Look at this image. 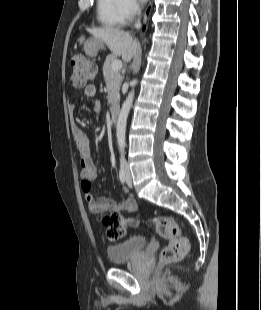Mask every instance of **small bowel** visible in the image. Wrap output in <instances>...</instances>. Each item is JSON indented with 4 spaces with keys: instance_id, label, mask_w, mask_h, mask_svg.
Instances as JSON below:
<instances>
[{
    "instance_id": "1",
    "label": "small bowel",
    "mask_w": 261,
    "mask_h": 310,
    "mask_svg": "<svg viewBox=\"0 0 261 310\" xmlns=\"http://www.w3.org/2000/svg\"><path fill=\"white\" fill-rule=\"evenodd\" d=\"M85 95L95 101L96 109H99L97 91L94 85L85 88ZM69 110H74V105L69 106ZM71 131L79 155V173L81 177V189L90 211L94 214H119L124 212L132 214L137 209L136 201L132 198L123 203L117 202L111 197L95 198L91 191V183L97 176V169L91 158V141L89 137L80 130L77 124L71 121Z\"/></svg>"
}]
</instances>
